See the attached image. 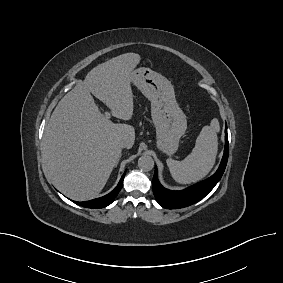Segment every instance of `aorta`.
Listing matches in <instances>:
<instances>
[{"label":"aorta","mask_w":283,"mask_h":283,"mask_svg":"<svg viewBox=\"0 0 283 283\" xmlns=\"http://www.w3.org/2000/svg\"><path fill=\"white\" fill-rule=\"evenodd\" d=\"M138 167L145 172L151 171L154 167L153 158L149 155L141 156L138 160Z\"/></svg>","instance_id":"aorta-1"}]
</instances>
